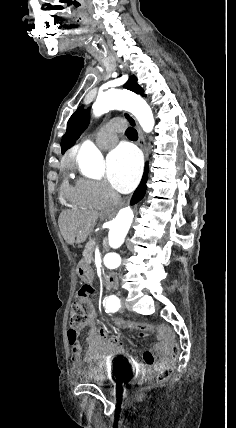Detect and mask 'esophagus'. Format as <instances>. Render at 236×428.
<instances>
[{
    "label": "esophagus",
    "mask_w": 236,
    "mask_h": 428,
    "mask_svg": "<svg viewBox=\"0 0 236 428\" xmlns=\"http://www.w3.org/2000/svg\"><path fill=\"white\" fill-rule=\"evenodd\" d=\"M123 116L126 119V121L133 126V128H135V130L137 131L139 140L138 143L139 145L145 146V139H144V135L141 131L140 126L138 125L136 119L128 112H123Z\"/></svg>",
    "instance_id": "obj_1"
}]
</instances>
